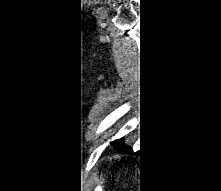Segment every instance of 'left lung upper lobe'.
<instances>
[{"label":"left lung upper lobe","instance_id":"5c2ea615","mask_svg":"<svg viewBox=\"0 0 221 191\" xmlns=\"http://www.w3.org/2000/svg\"><path fill=\"white\" fill-rule=\"evenodd\" d=\"M128 137H122L114 142H112V145H114L119 151H123L124 149H128L127 144L129 143Z\"/></svg>","mask_w":221,"mask_h":191}]
</instances>
